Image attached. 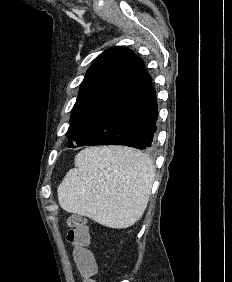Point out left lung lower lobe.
<instances>
[{"label": "left lung lower lobe", "mask_w": 232, "mask_h": 282, "mask_svg": "<svg viewBox=\"0 0 232 282\" xmlns=\"http://www.w3.org/2000/svg\"><path fill=\"white\" fill-rule=\"evenodd\" d=\"M157 118L156 91L150 74L140 60L131 76L101 110L89 139L77 146L125 145L138 149L151 148L157 130Z\"/></svg>", "instance_id": "0a47b994"}]
</instances>
